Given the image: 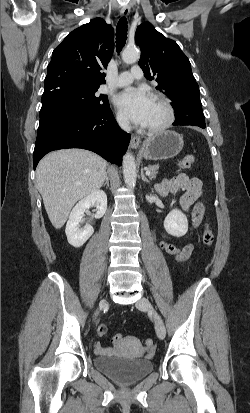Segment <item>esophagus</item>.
Wrapping results in <instances>:
<instances>
[{
  "label": "esophagus",
  "instance_id": "obj_1",
  "mask_svg": "<svg viewBox=\"0 0 250 413\" xmlns=\"http://www.w3.org/2000/svg\"><path fill=\"white\" fill-rule=\"evenodd\" d=\"M130 13V7L129 6H125L121 9V16L122 17H127ZM140 144V138L137 135H132L131 136V141H130V147L132 149H137L139 147Z\"/></svg>",
  "mask_w": 250,
  "mask_h": 413
}]
</instances>
